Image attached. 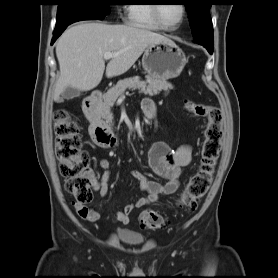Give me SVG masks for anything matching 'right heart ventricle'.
I'll list each match as a JSON object with an SVG mask.
<instances>
[{
	"label": "right heart ventricle",
	"instance_id": "obj_1",
	"mask_svg": "<svg viewBox=\"0 0 278 278\" xmlns=\"http://www.w3.org/2000/svg\"><path fill=\"white\" fill-rule=\"evenodd\" d=\"M128 22L131 25L149 30H161L152 15V5L145 3H133L127 8Z\"/></svg>",
	"mask_w": 278,
	"mask_h": 278
}]
</instances>
